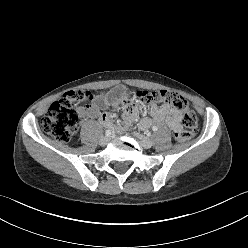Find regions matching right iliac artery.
<instances>
[{
	"mask_svg": "<svg viewBox=\"0 0 248 248\" xmlns=\"http://www.w3.org/2000/svg\"><path fill=\"white\" fill-rule=\"evenodd\" d=\"M111 135V131L110 130H106V136H110Z\"/></svg>",
	"mask_w": 248,
	"mask_h": 248,
	"instance_id": "82829eb1",
	"label": "right iliac artery"
}]
</instances>
